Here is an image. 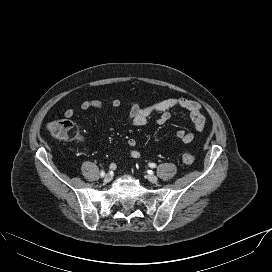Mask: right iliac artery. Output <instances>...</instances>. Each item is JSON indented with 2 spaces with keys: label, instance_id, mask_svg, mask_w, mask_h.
I'll return each instance as SVG.
<instances>
[{
  "label": "right iliac artery",
  "instance_id": "obj_1",
  "mask_svg": "<svg viewBox=\"0 0 272 272\" xmlns=\"http://www.w3.org/2000/svg\"><path fill=\"white\" fill-rule=\"evenodd\" d=\"M100 175H101V177H104L105 176V172L101 171Z\"/></svg>",
  "mask_w": 272,
  "mask_h": 272
}]
</instances>
